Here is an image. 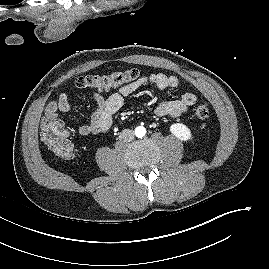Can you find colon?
<instances>
[{
	"instance_id": "colon-1",
	"label": "colon",
	"mask_w": 269,
	"mask_h": 269,
	"mask_svg": "<svg viewBox=\"0 0 269 269\" xmlns=\"http://www.w3.org/2000/svg\"><path fill=\"white\" fill-rule=\"evenodd\" d=\"M139 78V71L129 69L115 71L103 75H88L80 77L75 81V88L90 90L93 92H105L112 88L124 86ZM210 110L206 103L198 105L195 109V116L200 127L206 126ZM41 138L43 142L59 157L70 158L73 155V146L66 136L62 122L58 118L45 117L41 122Z\"/></svg>"
}]
</instances>
